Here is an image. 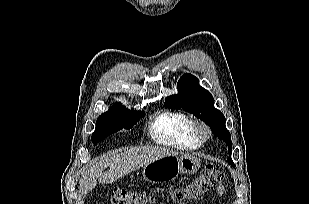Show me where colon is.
Returning <instances> with one entry per match:
<instances>
[{"label": "colon", "instance_id": "5ec220e1", "mask_svg": "<svg viewBox=\"0 0 309 204\" xmlns=\"http://www.w3.org/2000/svg\"><path fill=\"white\" fill-rule=\"evenodd\" d=\"M222 179L223 173L214 165H208L198 177L177 192V199L183 202L197 200ZM111 200L112 204H147L150 198L146 192L141 190L115 188Z\"/></svg>", "mask_w": 309, "mask_h": 204}]
</instances>
